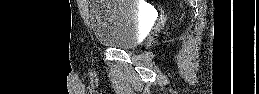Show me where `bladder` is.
<instances>
[{
  "label": "bladder",
  "instance_id": "obj_1",
  "mask_svg": "<svg viewBox=\"0 0 259 94\" xmlns=\"http://www.w3.org/2000/svg\"><path fill=\"white\" fill-rule=\"evenodd\" d=\"M89 21L102 46L124 50L139 44L146 23L141 7L132 0L90 1Z\"/></svg>",
  "mask_w": 259,
  "mask_h": 94
}]
</instances>
